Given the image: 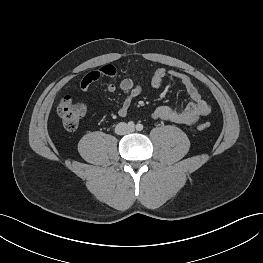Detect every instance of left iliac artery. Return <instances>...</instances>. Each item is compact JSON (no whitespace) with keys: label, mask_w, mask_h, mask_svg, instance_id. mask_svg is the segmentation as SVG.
Instances as JSON below:
<instances>
[{"label":"left iliac artery","mask_w":263,"mask_h":263,"mask_svg":"<svg viewBox=\"0 0 263 263\" xmlns=\"http://www.w3.org/2000/svg\"><path fill=\"white\" fill-rule=\"evenodd\" d=\"M136 130H137V131H142V130H143V125L140 124V123L137 124V125H136Z\"/></svg>","instance_id":"1"}]
</instances>
